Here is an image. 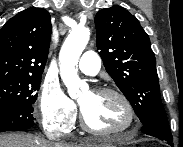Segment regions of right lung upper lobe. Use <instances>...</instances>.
<instances>
[{
  "mask_svg": "<svg viewBox=\"0 0 183 147\" xmlns=\"http://www.w3.org/2000/svg\"><path fill=\"white\" fill-rule=\"evenodd\" d=\"M51 20L43 8H28L0 30V80L38 76L44 71Z\"/></svg>",
  "mask_w": 183,
  "mask_h": 147,
  "instance_id": "1",
  "label": "right lung upper lobe"
}]
</instances>
